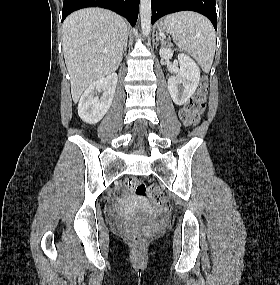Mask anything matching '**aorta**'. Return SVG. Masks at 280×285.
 <instances>
[{"label": "aorta", "instance_id": "1", "mask_svg": "<svg viewBox=\"0 0 280 285\" xmlns=\"http://www.w3.org/2000/svg\"><path fill=\"white\" fill-rule=\"evenodd\" d=\"M151 0L140 1V18H141V29L145 36H148L151 31Z\"/></svg>", "mask_w": 280, "mask_h": 285}]
</instances>
